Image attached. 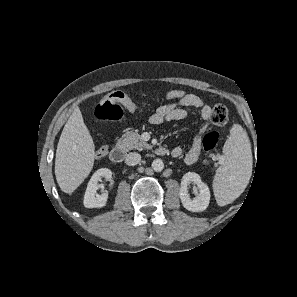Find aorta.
I'll return each instance as SVG.
<instances>
[{"label": "aorta", "instance_id": "1", "mask_svg": "<svg viewBox=\"0 0 297 297\" xmlns=\"http://www.w3.org/2000/svg\"><path fill=\"white\" fill-rule=\"evenodd\" d=\"M152 168L156 172H161L164 169V163L161 159H155L152 162Z\"/></svg>", "mask_w": 297, "mask_h": 297}]
</instances>
